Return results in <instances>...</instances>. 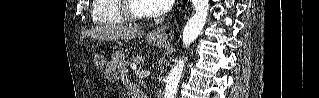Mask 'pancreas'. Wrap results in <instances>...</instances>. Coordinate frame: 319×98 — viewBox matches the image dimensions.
Instances as JSON below:
<instances>
[{
    "label": "pancreas",
    "instance_id": "cf45deb5",
    "mask_svg": "<svg viewBox=\"0 0 319 98\" xmlns=\"http://www.w3.org/2000/svg\"><path fill=\"white\" fill-rule=\"evenodd\" d=\"M140 62H142V58H140V57H134V56H132V57L129 59V61H128L129 64H133V63L138 64V63H140Z\"/></svg>",
    "mask_w": 319,
    "mask_h": 98
}]
</instances>
